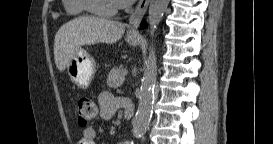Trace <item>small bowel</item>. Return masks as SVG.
Listing matches in <instances>:
<instances>
[{"label":"small bowel","instance_id":"obj_1","mask_svg":"<svg viewBox=\"0 0 273 144\" xmlns=\"http://www.w3.org/2000/svg\"><path fill=\"white\" fill-rule=\"evenodd\" d=\"M98 104L100 117L104 120L112 119L123 108L121 99L107 90L101 91L98 95ZM96 137L97 132L93 127L85 128L77 144H95Z\"/></svg>","mask_w":273,"mask_h":144}]
</instances>
